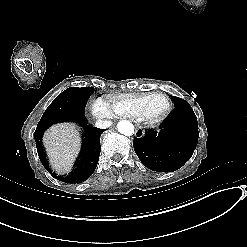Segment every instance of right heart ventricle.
Returning <instances> with one entry per match:
<instances>
[{
	"mask_svg": "<svg viewBox=\"0 0 247 247\" xmlns=\"http://www.w3.org/2000/svg\"><path fill=\"white\" fill-rule=\"evenodd\" d=\"M150 92L105 95L99 100L103 103L108 118L130 117L145 105Z\"/></svg>",
	"mask_w": 247,
	"mask_h": 247,
	"instance_id": "obj_1",
	"label": "right heart ventricle"
}]
</instances>
